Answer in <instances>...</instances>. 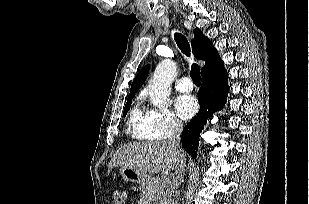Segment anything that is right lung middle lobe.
Wrapping results in <instances>:
<instances>
[{
    "label": "right lung middle lobe",
    "instance_id": "1",
    "mask_svg": "<svg viewBox=\"0 0 309 204\" xmlns=\"http://www.w3.org/2000/svg\"><path fill=\"white\" fill-rule=\"evenodd\" d=\"M131 103H132V98L127 100V103H126L125 109H124V116L127 114L128 110L130 108Z\"/></svg>",
    "mask_w": 309,
    "mask_h": 204
}]
</instances>
